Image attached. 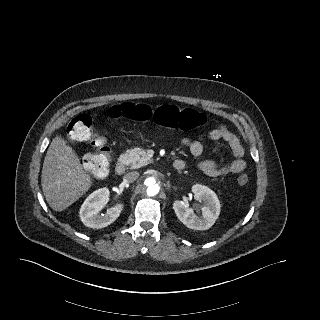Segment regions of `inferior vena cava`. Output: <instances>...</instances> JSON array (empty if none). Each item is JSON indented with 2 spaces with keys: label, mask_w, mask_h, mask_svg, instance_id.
Masks as SVG:
<instances>
[{
  "label": "inferior vena cava",
  "mask_w": 320,
  "mask_h": 320,
  "mask_svg": "<svg viewBox=\"0 0 320 320\" xmlns=\"http://www.w3.org/2000/svg\"><path fill=\"white\" fill-rule=\"evenodd\" d=\"M139 177V173L137 171H132L124 175V180L127 182L135 181Z\"/></svg>",
  "instance_id": "602c4592"
}]
</instances>
